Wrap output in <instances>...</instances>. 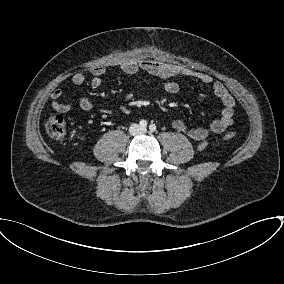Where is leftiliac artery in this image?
<instances>
[{
  "instance_id": "left-iliac-artery-1",
  "label": "left iliac artery",
  "mask_w": 284,
  "mask_h": 284,
  "mask_svg": "<svg viewBox=\"0 0 284 284\" xmlns=\"http://www.w3.org/2000/svg\"><path fill=\"white\" fill-rule=\"evenodd\" d=\"M149 129H150L151 132H154L156 130V125L155 124H151L149 126Z\"/></svg>"
}]
</instances>
